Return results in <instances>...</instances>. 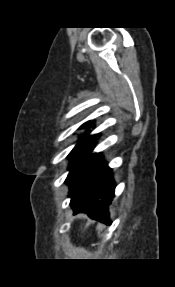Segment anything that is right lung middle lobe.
Instances as JSON below:
<instances>
[{
  "label": "right lung middle lobe",
  "mask_w": 175,
  "mask_h": 287,
  "mask_svg": "<svg viewBox=\"0 0 175 287\" xmlns=\"http://www.w3.org/2000/svg\"><path fill=\"white\" fill-rule=\"evenodd\" d=\"M90 131H86L81 135L80 141L71 151L68 157H71L69 164L70 173L87 157L92 151V146L97 135L89 136Z\"/></svg>",
  "instance_id": "dd1d6c3e"
}]
</instances>
